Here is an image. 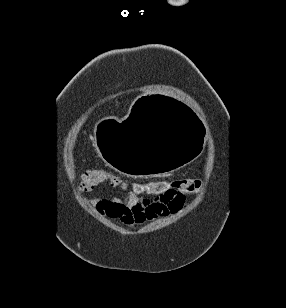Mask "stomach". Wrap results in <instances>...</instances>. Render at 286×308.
<instances>
[{"mask_svg":"<svg viewBox=\"0 0 286 308\" xmlns=\"http://www.w3.org/2000/svg\"><path fill=\"white\" fill-rule=\"evenodd\" d=\"M165 91H148L133 100L130 118L98 117L93 142L112 171L129 177H163V173H183L191 159H201L206 125L199 112L187 107Z\"/></svg>","mask_w":286,"mask_h":308,"instance_id":"obj_1","label":"stomach"}]
</instances>
